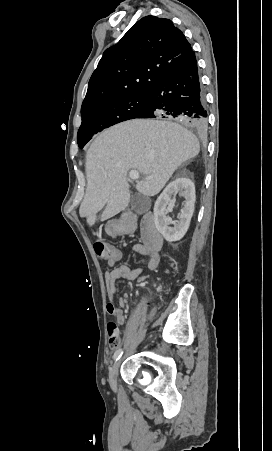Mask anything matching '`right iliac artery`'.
Masks as SVG:
<instances>
[{
    "instance_id": "82829eb1",
    "label": "right iliac artery",
    "mask_w": 272,
    "mask_h": 451,
    "mask_svg": "<svg viewBox=\"0 0 272 451\" xmlns=\"http://www.w3.org/2000/svg\"><path fill=\"white\" fill-rule=\"evenodd\" d=\"M122 354H123V350L122 349H118L116 352H115V354H114V360H118V359H120V357L122 356Z\"/></svg>"
}]
</instances>
